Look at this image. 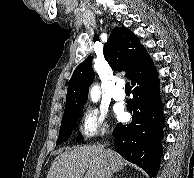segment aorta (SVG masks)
<instances>
[{
    "mask_svg": "<svg viewBox=\"0 0 194 178\" xmlns=\"http://www.w3.org/2000/svg\"><path fill=\"white\" fill-rule=\"evenodd\" d=\"M91 99L96 102L100 97V91L98 86H93L90 91Z\"/></svg>",
    "mask_w": 194,
    "mask_h": 178,
    "instance_id": "762f6f07",
    "label": "aorta"
}]
</instances>
